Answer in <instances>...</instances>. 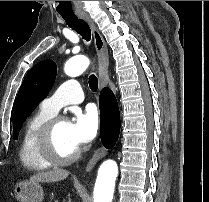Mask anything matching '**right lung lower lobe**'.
I'll use <instances>...</instances> for the list:
<instances>
[{"label":"right lung lower lobe","mask_w":209,"mask_h":202,"mask_svg":"<svg viewBox=\"0 0 209 202\" xmlns=\"http://www.w3.org/2000/svg\"><path fill=\"white\" fill-rule=\"evenodd\" d=\"M99 104L101 139L106 148H112L120 132V113L115 95L109 88L101 90Z\"/></svg>","instance_id":"right-lung-lower-lobe-1"}]
</instances>
